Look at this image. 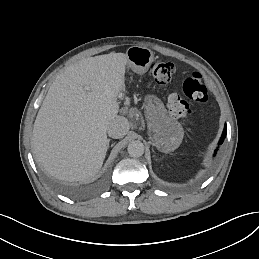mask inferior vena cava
Returning <instances> with one entry per match:
<instances>
[{
	"mask_svg": "<svg viewBox=\"0 0 259 259\" xmlns=\"http://www.w3.org/2000/svg\"><path fill=\"white\" fill-rule=\"evenodd\" d=\"M129 130L127 118L117 116L107 127L108 135L114 139L123 138Z\"/></svg>",
	"mask_w": 259,
	"mask_h": 259,
	"instance_id": "602c4592",
	"label": "inferior vena cava"
}]
</instances>
